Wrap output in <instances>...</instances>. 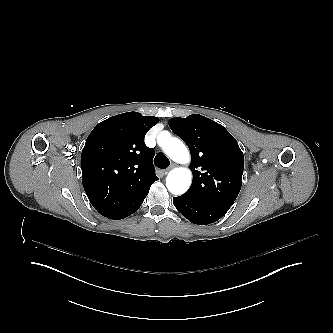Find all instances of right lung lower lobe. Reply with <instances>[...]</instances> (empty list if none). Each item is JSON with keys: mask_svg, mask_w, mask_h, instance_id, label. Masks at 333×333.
I'll list each match as a JSON object with an SVG mask.
<instances>
[{"mask_svg": "<svg viewBox=\"0 0 333 333\" xmlns=\"http://www.w3.org/2000/svg\"><path fill=\"white\" fill-rule=\"evenodd\" d=\"M156 180L155 174L117 177L100 161L82 168V183L91 204L101 215L115 220L137 211Z\"/></svg>", "mask_w": 333, "mask_h": 333, "instance_id": "right-lung-lower-lobe-1", "label": "right lung lower lobe"}]
</instances>
